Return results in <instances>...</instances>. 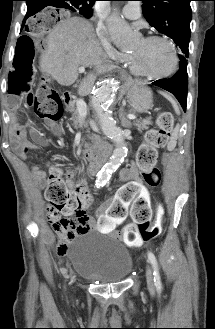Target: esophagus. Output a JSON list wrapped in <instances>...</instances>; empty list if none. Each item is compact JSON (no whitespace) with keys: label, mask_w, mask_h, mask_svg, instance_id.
Masks as SVG:
<instances>
[{"label":"esophagus","mask_w":215,"mask_h":329,"mask_svg":"<svg viewBox=\"0 0 215 329\" xmlns=\"http://www.w3.org/2000/svg\"><path fill=\"white\" fill-rule=\"evenodd\" d=\"M122 76L124 77V79L126 80H129L130 77L125 73V72H122Z\"/></svg>","instance_id":"1"}]
</instances>
